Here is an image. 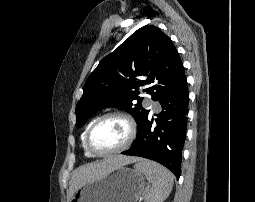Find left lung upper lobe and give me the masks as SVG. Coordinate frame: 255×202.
Masks as SVG:
<instances>
[{"mask_svg": "<svg viewBox=\"0 0 255 202\" xmlns=\"http://www.w3.org/2000/svg\"><path fill=\"white\" fill-rule=\"evenodd\" d=\"M184 78L182 61L171 39L155 26H143L90 74L76 106V126H83L102 108L119 107L134 117L139 130L149 113L141 106L139 89L146 87L143 92L157 101Z\"/></svg>", "mask_w": 255, "mask_h": 202, "instance_id": "1", "label": "left lung upper lobe"}]
</instances>
